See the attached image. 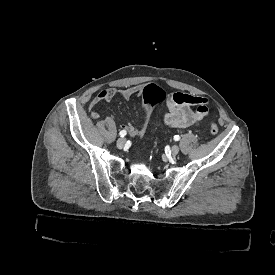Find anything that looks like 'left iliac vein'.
Here are the masks:
<instances>
[{"label":"left iliac vein","mask_w":275,"mask_h":275,"mask_svg":"<svg viewBox=\"0 0 275 275\" xmlns=\"http://www.w3.org/2000/svg\"><path fill=\"white\" fill-rule=\"evenodd\" d=\"M179 150H180L179 146H177V145H174L171 148V152H172L173 155H177L179 153Z\"/></svg>","instance_id":"4c4485c4"}]
</instances>
